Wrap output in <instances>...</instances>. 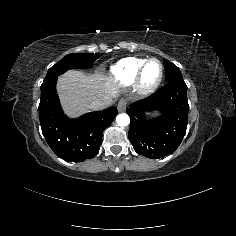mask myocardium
I'll return each instance as SVG.
<instances>
[{
	"label": "myocardium",
	"mask_w": 236,
	"mask_h": 236,
	"mask_svg": "<svg viewBox=\"0 0 236 236\" xmlns=\"http://www.w3.org/2000/svg\"><path fill=\"white\" fill-rule=\"evenodd\" d=\"M152 61L159 62V64L161 65V68H162V73H161L160 78L158 79V81L154 85L146 87L142 83V78H143L144 72H145L148 64ZM164 77H165V67H164L163 62L160 59L155 58V57L149 58L140 67V69L136 75L135 81H134V87L140 95L149 96V95H152L153 93H155L159 89L160 85L162 84V82L164 80Z\"/></svg>",
	"instance_id": "obj_1"
}]
</instances>
